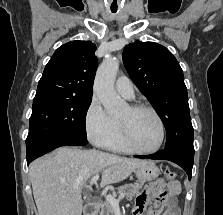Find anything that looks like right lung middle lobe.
Returning a JSON list of instances; mask_svg holds the SVG:
<instances>
[{"label": "right lung middle lobe", "instance_id": "obj_1", "mask_svg": "<svg viewBox=\"0 0 223 215\" xmlns=\"http://www.w3.org/2000/svg\"><path fill=\"white\" fill-rule=\"evenodd\" d=\"M92 99L36 95L26 146L59 138L87 139L86 114Z\"/></svg>", "mask_w": 223, "mask_h": 215}]
</instances>
